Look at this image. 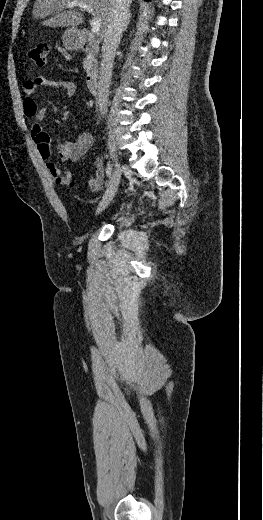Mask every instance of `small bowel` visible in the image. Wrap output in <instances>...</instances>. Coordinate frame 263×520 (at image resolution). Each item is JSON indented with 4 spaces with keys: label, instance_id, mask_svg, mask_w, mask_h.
<instances>
[{
    "label": "small bowel",
    "instance_id": "small-bowel-1",
    "mask_svg": "<svg viewBox=\"0 0 263 520\" xmlns=\"http://www.w3.org/2000/svg\"><path fill=\"white\" fill-rule=\"evenodd\" d=\"M49 86L63 91L67 96H73L76 92V85L67 80H50L45 77L29 79L24 83V113L31 118L30 129L31 137L37 146V150L43 160L46 161L47 169L53 180L60 186H69L72 183V175L69 172L60 170L51 160L50 137L43 130L41 122L45 119L47 109L38 106L35 93L40 87ZM93 145V137L89 132H83L75 142L59 141L57 146L58 156L62 161H79L90 150ZM94 172L89 180V188L96 192L103 181L104 165L100 158H95Z\"/></svg>",
    "mask_w": 263,
    "mask_h": 520
}]
</instances>
